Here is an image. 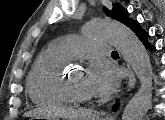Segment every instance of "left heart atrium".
<instances>
[{
  "mask_svg": "<svg viewBox=\"0 0 165 120\" xmlns=\"http://www.w3.org/2000/svg\"><path fill=\"white\" fill-rule=\"evenodd\" d=\"M87 81L95 96H108L117 87L116 71L103 61H94L87 71Z\"/></svg>",
  "mask_w": 165,
  "mask_h": 120,
  "instance_id": "obj_1",
  "label": "left heart atrium"
}]
</instances>
